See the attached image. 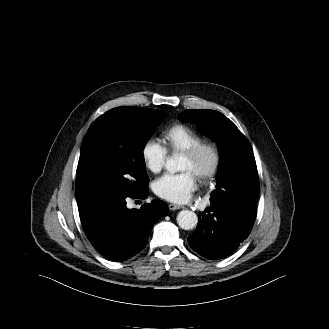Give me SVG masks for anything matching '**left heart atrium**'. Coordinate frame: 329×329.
Masks as SVG:
<instances>
[{
  "mask_svg": "<svg viewBox=\"0 0 329 329\" xmlns=\"http://www.w3.org/2000/svg\"><path fill=\"white\" fill-rule=\"evenodd\" d=\"M196 188V176L190 170L177 174L167 173L158 178L153 185L154 192L159 197L174 203L186 201Z\"/></svg>",
  "mask_w": 329,
  "mask_h": 329,
  "instance_id": "left-heart-atrium-1",
  "label": "left heart atrium"
}]
</instances>
